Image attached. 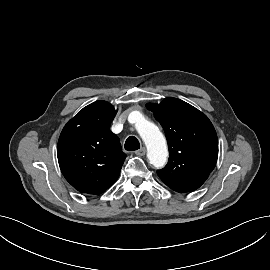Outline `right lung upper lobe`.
<instances>
[{
	"label": "right lung upper lobe",
	"instance_id": "obj_1",
	"mask_svg": "<svg viewBox=\"0 0 270 270\" xmlns=\"http://www.w3.org/2000/svg\"><path fill=\"white\" fill-rule=\"evenodd\" d=\"M116 112L106 101L93 102L79 111L60 134L59 166L79 192L99 195L119 177L126 154L110 130Z\"/></svg>",
	"mask_w": 270,
	"mask_h": 270
}]
</instances>
